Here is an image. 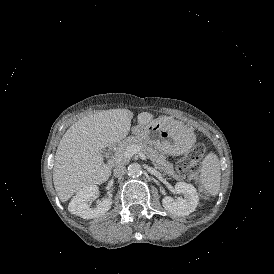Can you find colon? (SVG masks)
<instances>
[{
  "mask_svg": "<svg viewBox=\"0 0 274 274\" xmlns=\"http://www.w3.org/2000/svg\"><path fill=\"white\" fill-rule=\"evenodd\" d=\"M205 154L203 144L195 145L186 157L177 164L178 172L186 177H196L199 172L198 162Z\"/></svg>",
  "mask_w": 274,
  "mask_h": 274,
  "instance_id": "5ec220e1",
  "label": "colon"
}]
</instances>
